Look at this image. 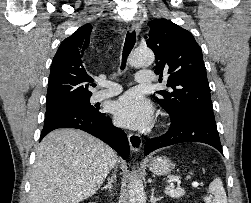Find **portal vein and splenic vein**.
<instances>
[{
    "label": "portal vein and splenic vein",
    "mask_w": 251,
    "mask_h": 203,
    "mask_svg": "<svg viewBox=\"0 0 251 203\" xmlns=\"http://www.w3.org/2000/svg\"><path fill=\"white\" fill-rule=\"evenodd\" d=\"M168 182H178V179L177 178H173V179L168 180ZM198 186H199L198 182H193L192 183V187L196 188Z\"/></svg>",
    "instance_id": "portal-vein-and-splenic-vein-1"
}]
</instances>
